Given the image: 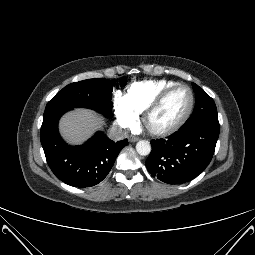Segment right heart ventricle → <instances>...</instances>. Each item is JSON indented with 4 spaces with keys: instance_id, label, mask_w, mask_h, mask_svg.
I'll return each mask as SVG.
<instances>
[{
    "instance_id": "right-heart-ventricle-1",
    "label": "right heart ventricle",
    "mask_w": 255,
    "mask_h": 255,
    "mask_svg": "<svg viewBox=\"0 0 255 255\" xmlns=\"http://www.w3.org/2000/svg\"><path fill=\"white\" fill-rule=\"evenodd\" d=\"M175 84L167 80L136 82L127 88L122 98L136 114H141L163 90Z\"/></svg>"
}]
</instances>
